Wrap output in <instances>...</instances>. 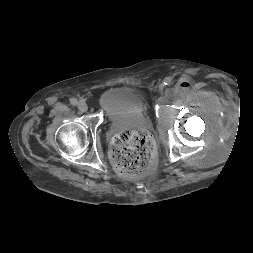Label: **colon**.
Here are the masks:
<instances>
[{
    "mask_svg": "<svg viewBox=\"0 0 253 253\" xmlns=\"http://www.w3.org/2000/svg\"><path fill=\"white\" fill-rule=\"evenodd\" d=\"M153 142L141 130H124L112 141L110 155L115 170L123 177L131 178L146 173L153 162Z\"/></svg>",
    "mask_w": 253,
    "mask_h": 253,
    "instance_id": "1",
    "label": "colon"
}]
</instances>
